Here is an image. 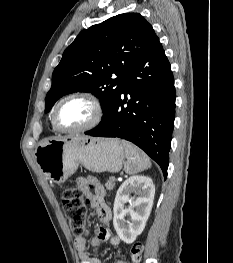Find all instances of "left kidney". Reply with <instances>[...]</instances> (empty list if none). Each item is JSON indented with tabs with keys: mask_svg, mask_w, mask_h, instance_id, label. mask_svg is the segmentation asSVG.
Returning <instances> with one entry per match:
<instances>
[{
	"mask_svg": "<svg viewBox=\"0 0 233 263\" xmlns=\"http://www.w3.org/2000/svg\"><path fill=\"white\" fill-rule=\"evenodd\" d=\"M131 193H135L137 197H131ZM154 195L153 181L146 176H131L119 187L113 207V225L123 242L131 244L143 232L153 206ZM127 202L130 207L124 208ZM126 215H130V219L126 220Z\"/></svg>",
	"mask_w": 233,
	"mask_h": 263,
	"instance_id": "1",
	"label": "left kidney"
}]
</instances>
